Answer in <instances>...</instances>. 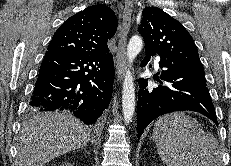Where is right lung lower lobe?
I'll list each match as a JSON object with an SVG mask.
<instances>
[{
    "label": "right lung lower lobe",
    "mask_w": 231,
    "mask_h": 166,
    "mask_svg": "<svg viewBox=\"0 0 231 166\" xmlns=\"http://www.w3.org/2000/svg\"><path fill=\"white\" fill-rule=\"evenodd\" d=\"M114 64L107 51L98 55L46 52L29 108L67 110L86 125L100 121L113 91Z\"/></svg>",
    "instance_id": "98d812e1"
}]
</instances>
